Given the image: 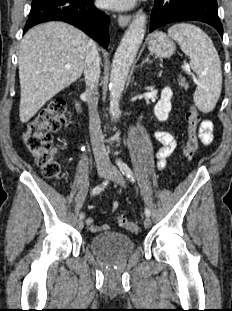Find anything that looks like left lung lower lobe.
<instances>
[{
	"instance_id": "1",
	"label": "left lung lower lobe",
	"mask_w": 232,
	"mask_h": 311,
	"mask_svg": "<svg viewBox=\"0 0 232 311\" xmlns=\"http://www.w3.org/2000/svg\"><path fill=\"white\" fill-rule=\"evenodd\" d=\"M193 20L213 26L223 37L216 0H155L150 32L168 23Z\"/></svg>"
}]
</instances>
